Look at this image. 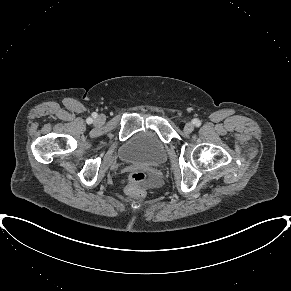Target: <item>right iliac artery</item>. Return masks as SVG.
Returning <instances> with one entry per match:
<instances>
[{"instance_id": "right-iliac-artery-1", "label": "right iliac artery", "mask_w": 291, "mask_h": 291, "mask_svg": "<svg viewBox=\"0 0 291 291\" xmlns=\"http://www.w3.org/2000/svg\"><path fill=\"white\" fill-rule=\"evenodd\" d=\"M92 122V119L91 118H88V123H91Z\"/></svg>"}]
</instances>
